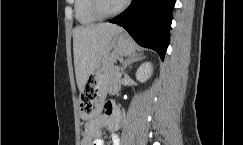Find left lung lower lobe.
Here are the masks:
<instances>
[{"mask_svg":"<svg viewBox=\"0 0 243 145\" xmlns=\"http://www.w3.org/2000/svg\"><path fill=\"white\" fill-rule=\"evenodd\" d=\"M175 0H132L130 6L109 22L125 28L141 46L154 49L164 59Z\"/></svg>","mask_w":243,"mask_h":145,"instance_id":"0a47b994","label":"left lung lower lobe"}]
</instances>
